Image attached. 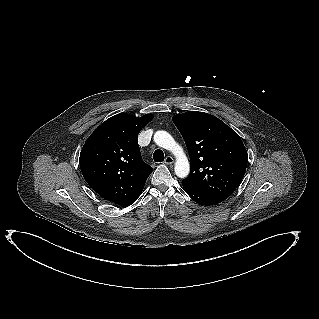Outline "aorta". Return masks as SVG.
Masks as SVG:
<instances>
[{"label": "aorta", "instance_id": "762f6f07", "mask_svg": "<svg viewBox=\"0 0 319 319\" xmlns=\"http://www.w3.org/2000/svg\"><path fill=\"white\" fill-rule=\"evenodd\" d=\"M154 142L158 146L172 152L176 157L174 167L175 174L180 178L187 177L190 172V164L183 148L176 143L174 138L168 132L160 130L154 134Z\"/></svg>", "mask_w": 319, "mask_h": 319}]
</instances>
